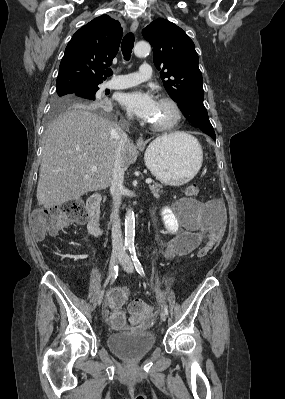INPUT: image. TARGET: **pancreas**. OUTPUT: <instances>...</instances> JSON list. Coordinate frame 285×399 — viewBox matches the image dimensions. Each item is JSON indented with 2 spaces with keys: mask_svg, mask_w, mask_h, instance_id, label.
Masks as SVG:
<instances>
[{
  "mask_svg": "<svg viewBox=\"0 0 285 399\" xmlns=\"http://www.w3.org/2000/svg\"><path fill=\"white\" fill-rule=\"evenodd\" d=\"M150 190L152 191L154 197L159 198L160 193L163 192L162 190V185L159 183H153L152 185L149 186Z\"/></svg>",
  "mask_w": 285,
  "mask_h": 399,
  "instance_id": "1",
  "label": "pancreas"
}]
</instances>
